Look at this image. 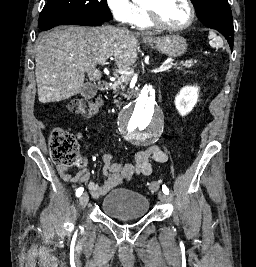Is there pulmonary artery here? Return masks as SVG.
Instances as JSON below:
<instances>
[{
  "instance_id": "1",
  "label": "pulmonary artery",
  "mask_w": 256,
  "mask_h": 267,
  "mask_svg": "<svg viewBox=\"0 0 256 267\" xmlns=\"http://www.w3.org/2000/svg\"><path fill=\"white\" fill-rule=\"evenodd\" d=\"M126 56H134V55H130V54H128V55H126Z\"/></svg>"
}]
</instances>
